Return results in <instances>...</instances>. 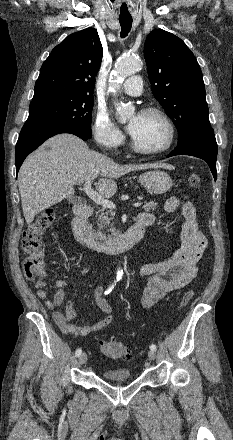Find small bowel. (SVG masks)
<instances>
[{
	"mask_svg": "<svg viewBox=\"0 0 233 440\" xmlns=\"http://www.w3.org/2000/svg\"><path fill=\"white\" fill-rule=\"evenodd\" d=\"M168 213L179 211L184 218L181 233V246L167 259L145 263L139 270V275L145 280L146 287L142 296V304L148 308L161 300L167 292L178 290L187 285L197 274L198 264L207 248V238L202 233L197 222L196 208L190 201H182L178 196H172L165 203ZM139 217L151 219L155 216L149 212H142ZM91 267L88 263L80 270L86 273ZM57 291L53 299H47L46 282L39 279L35 283L37 296L44 300L45 306L52 311L54 322L67 335H90L107 327L113 321L112 308L103 297L104 287L95 290V300L98 308L105 317L93 324L78 326L74 323L77 314L72 300L66 302L65 312L57 308L65 302L67 282L63 279L55 281Z\"/></svg>",
	"mask_w": 233,
	"mask_h": 440,
	"instance_id": "1",
	"label": "small bowel"
}]
</instances>
